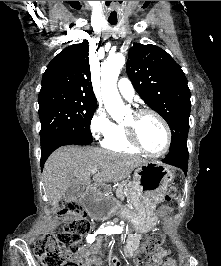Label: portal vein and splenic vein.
Masks as SVG:
<instances>
[{
	"label": "portal vein and splenic vein",
	"mask_w": 221,
	"mask_h": 266,
	"mask_svg": "<svg viewBox=\"0 0 221 266\" xmlns=\"http://www.w3.org/2000/svg\"><path fill=\"white\" fill-rule=\"evenodd\" d=\"M99 171V169L98 168H93V169H91V173H97Z\"/></svg>",
	"instance_id": "obj_1"
}]
</instances>
